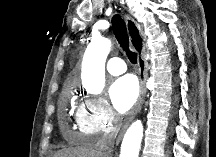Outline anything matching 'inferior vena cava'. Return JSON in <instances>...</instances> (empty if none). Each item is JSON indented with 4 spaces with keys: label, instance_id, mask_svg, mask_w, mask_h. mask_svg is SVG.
<instances>
[{
    "label": "inferior vena cava",
    "instance_id": "602c4592",
    "mask_svg": "<svg viewBox=\"0 0 216 157\" xmlns=\"http://www.w3.org/2000/svg\"><path fill=\"white\" fill-rule=\"evenodd\" d=\"M115 134L105 133L102 138L96 143L95 148L98 157H110L114 145Z\"/></svg>",
    "mask_w": 216,
    "mask_h": 157
}]
</instances>
